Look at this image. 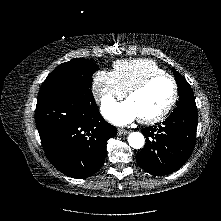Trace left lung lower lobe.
I'll use <instances>...</instances> for the list:
<instances>
[{
    "label": "left lung lower lobe",
    "mask_w": 221,
    "mask_h": 221,
    "mask_svg": "<svg viewBox=\"0 0 221 221\" xmlns=\"http://www.w3.org/2000/svg\"><path fill=\"white\" fill-rule=\"evenodd\" d=\"M197 110L173 111L160 125L142 129L146 144L137 154L138 165L154 176L178 170L189 159L196 139Z\"/></svg>",
    "instance_id": "obj_1"
}]
</instances>
